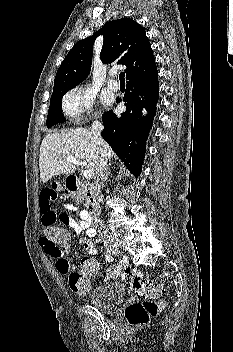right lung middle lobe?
<instances>
[{
    "label": "right lung middle lobe",
    "instance_id": "1",
    "mask_svg": "<svg viewBox=\"0 0 233 352\" xmlns=\"http://www.w3.org/2000/svg\"><path fill=\"white\" fill-rule=\"evenodd\" d=\"M76 85H65L53 88V93L50 100V107L47 116V127L50 128L53 125L63 122L64 115L62 113V97L71 88Z\"/></svg>",
    "mask_w": 233,
    "mask_h": 352
}]
</instances>
